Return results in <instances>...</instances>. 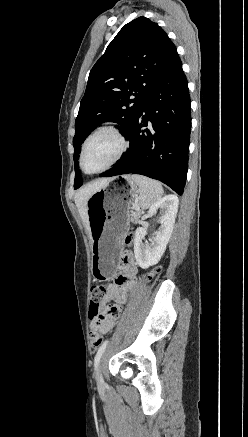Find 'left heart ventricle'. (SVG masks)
<instances>
[{"mask_svg": "<svg viewBox=\"0 0 248 437\" xmlns=\"http://www.w3.org/2000/svg\"><path fill=\"white\" fill-rule=\"evenodd\" d=\"M120 148V142L111 133L104 132L92 138L85 151L84 165L88 172H94L107 165Z\"/></svg>", "mask_w": 248, "mask_h": 437, "instance_id": "left-heart-ventricle-1", "label": "left heart ventricle"}]
</instances>
